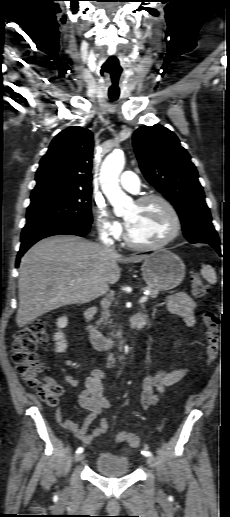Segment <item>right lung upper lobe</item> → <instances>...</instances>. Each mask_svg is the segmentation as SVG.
I'll list each match as a JSON object with an SVG mask.
<instances>
[{"label": "right lung upper lobe", "instance_id": "right-lung-upper-lobe-1", "mask_svg": "<svg viewBox=\"0 0 230 517\" xmlns=\"http://www.w3.org/2000/svg\"><path fill=\"white\" fill-rule=\"evenodd\" d=\"M92 154L93 135L88 129L72 126L61 131L40 161L31 199L91 190Z\"/></svg>", "mask_w": 230, "mask_h": 517}]
</instances>
